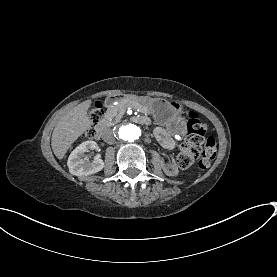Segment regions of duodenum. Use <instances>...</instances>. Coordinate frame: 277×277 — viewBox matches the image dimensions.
Returning <instances> with one entry per match:
<instances>
[{
  "mask_svg": "<svg viewBox=\"0 0 277 277\" xmlns=\"http://www.w3.org/2000/svg\"><path fill=\"white\" fill-rule=\"evenodd\" d=\"M128 98L127 95L125 94H117V95H112L110 96L107 100H106V108L109 109L111 108L116 102L118 101H122V100H126ZM134 120L136 122H140V123H144V124H148L149 120L144 117V116H138L135 117ZM106 128L105 122H102L98 125L97 130H96V137L100 138L102 136V134L104 133Z\"/></svg>",
  "mask_w": 277,
  "mask_h": 277,
  "instance_id": "obj_1",
  "label": "duodenum"
}]
</instances>
